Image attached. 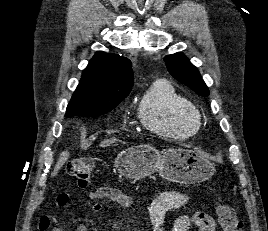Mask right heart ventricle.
Masks as SVG:
<instances>
[{"label": "right heart ventricle", "instance_id": "obj_1", "mask_svg": "<svg viewBox=\"0 0 268 231\" xmlns=\"http://www.w3.org/2000/svg\"><path fill=\"white\" fill-rule=\"evenodd\" d=\"M138 117L150 132L174 139H187L200 127L195 106L165 80H157L146 91L138 107Z\"/></svg>", "mask_w": 268, "mask_h": 231}]
</instances>
